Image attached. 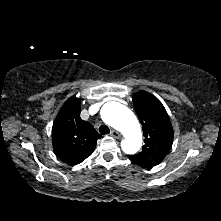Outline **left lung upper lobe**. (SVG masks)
<instances>
[{
    "mask_svg": "<svg viewBox=\"0 0 221 221\" xmlns=\"http://www.w3.org/2000/svg\"><path fill=\"white\" fill-rule=\"evenodd\" d=\"M133 105L142 124L145 144L140 153L129 159L141 167L158 165L173 143L170 119L162 103L146 91L133 95Z\"/></svg>",
    "mask_w": 221,
    "mask_h": 221,
    "instance_id": "5c2ea615",
    "label": "left lung upper lobe"
}]
</instances>
